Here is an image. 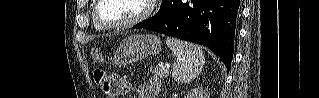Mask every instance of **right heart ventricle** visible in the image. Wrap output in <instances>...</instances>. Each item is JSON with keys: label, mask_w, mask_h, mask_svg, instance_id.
I'll return each instance as SVG.
<instances>
[{"label": "right heart ventricle", "mask_w": 319, "mask_h": 98, "mask_svg": "<svg viewBox=\"0 0 319 98\" xmlns=\"http://www.w3.org/2000/svg\"><path fill=\"white\" fill-rule=\"evenodd\" d=\"M94 26H95V28H96L97 30H101V27L98 26L95 22H94Z\"/></svg>", "instance_id": "right-heart-ventricle-1"}]
</instances>
